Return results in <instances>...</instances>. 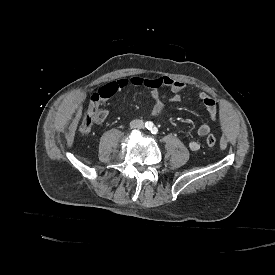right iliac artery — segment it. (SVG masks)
Listing matches in <instances>:
<instances>
[{
	"label": "right iliac artery",
	"instance_id": "1",
	"mask_svg": "<svg viewBox=\"0 0 275 275\" xmlns=\"http://www.w3.org/2000/svg\"><path fill=\"white\" fill-rule=\"evenodd\" d=\"M145 127L148 128V129H152L153 128V123L151 121H147L145 123Z\"/></svg>",
	"mask_w": 275,
	"mask_h": 275
}]
</instances>
